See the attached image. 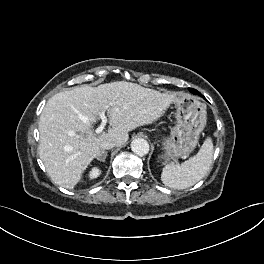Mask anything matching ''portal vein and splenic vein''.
I'll return each instance as SVG.
<instances>
[{"label": "portal vein and splenic vein", "mask_w": 264, "mask_h": 264, "mask_svg": "<svg viewBox=\"0 0 264 264\" xmlns=\"http://www.w3.org/2000/svg\"><path fill=\"white\" fill-rule=\"evenodd\" d=\"M99 117L101 118L102 123H101V125L96 129V133H100V132H102V130H103L105 124L107 123V118H106L104 112H100V113H99Z\"/></svg>", "instance_id": "1"}]
</instances>
